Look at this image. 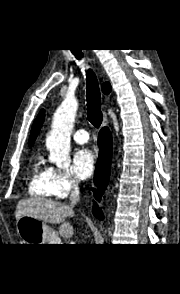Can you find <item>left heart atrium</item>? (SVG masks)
<instances>
[{"instance_id":"1","label":"left heart atrium","mask_w":180,"mask_h":294,"mask_svg":"<svg viewBox=\"0 0 180 294\" xmlns=\"http://www.w3.org/2000/svg\"><path fill=\"white\" fill-rule=\"evenodd\" d=\"M94 163L93 153L86 148H81L74 154L72 172L77 178L86 179L92 174Z\"/></svg>"}]
</instances>
